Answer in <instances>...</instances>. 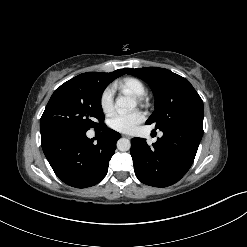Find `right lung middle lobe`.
I'll use <instances>...</instances> for the list:
<instances>
[{"label": "right lung middle lobe", "instance_id": "dd1d6c3e", "mask_svg": "<svg viewBox=\"0 0 247 247\" xmlns=\"http://www.w3.org/2000/svg\"><path fill=\"white\" fill-rule=\"evenodd\" d=\"M107 83L83 73L63 83L51 96L40 120L41 137L57 133H85L104 120L101 96Z\"/></svg>", "mask_w": 247, "mask_h": 247}]
</instances>
